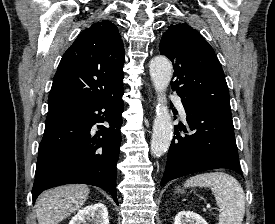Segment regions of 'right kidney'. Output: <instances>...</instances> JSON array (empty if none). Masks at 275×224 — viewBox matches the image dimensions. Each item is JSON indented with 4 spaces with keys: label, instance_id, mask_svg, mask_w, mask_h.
Listing matches in <instances>:
<instances>
[{
    "label": "right kidney",
    "instance_id": "obj_1",
    "mask_svg": "<svg viewBox=\"0 0 275 224\" xmlns=\"http://www.w3.org/2000/svg\"><path fill=\"white\" fill-rule=\"evenodd\" d=\"M109 224L107 207L102 203L89 205L81 210L71 219L69 224Z\"/></svg>",
    "mask_w": 275,
    "mask_h": 224
}]
</instances>
